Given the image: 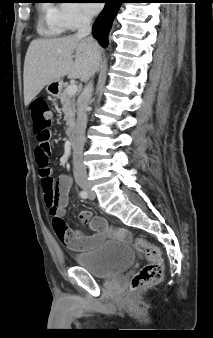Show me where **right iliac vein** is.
Here are the masks:
<instances>
[{"label":"right iliac vein","mask_w":213,"mask_h":338,"mask_svg":"<svg viewBox=\"0 0 213 338\" xmlns=\"http://www.w3.org/2000/svg\"><path fill=\"white\" fill-rule=\"evenodd\" d=\"M82 188H84V189H88V186L87 185H82Z\"/></svg>","instance_id":"1"}]
</instances>
